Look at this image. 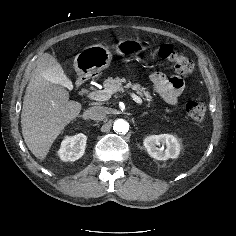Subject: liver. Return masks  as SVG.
I'll return each instance as SVG.
<instances>
[{"label": "liver", "instance_id": "liver-1", "mask_svg": "<svg viewBox=\"0 0 236 236\" xmlns=\"http://www.w3.org/2000/svg\"><path fill=\"white\" fill-rule=\"evenodd\" d=\"M57 84L38 62L24 96L22 134L29 150L40 160L46 158L55 139L82 109V105L69 100L68 91Z\"/></svg>", "mask_w": 236, "mask_h": 236}]
</instances>
